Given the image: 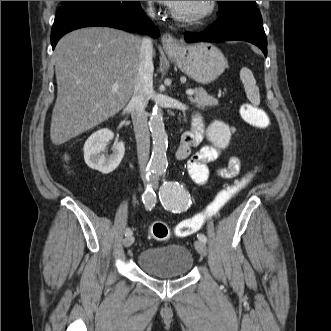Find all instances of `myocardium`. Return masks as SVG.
<instances>
[{
	"label": "myocardium",
	"mask_w": 331,
	"mask_h": 331,
	"mask_svg": "<svg viewBox=\"0 0 331 331\" xmlns=\"http://www.w3.org/2000/svg\"><path fill=\"white\" fill-rule=\"evenodd\" d=\"M216 1H203L202 6L199 10L184 14L176 11L175 9H171V15L178 21L183 23H195L205 19L210 16L215 10Z\"/></svg>",
	"instance_id": "myocardium-1"
}]
</instances>
